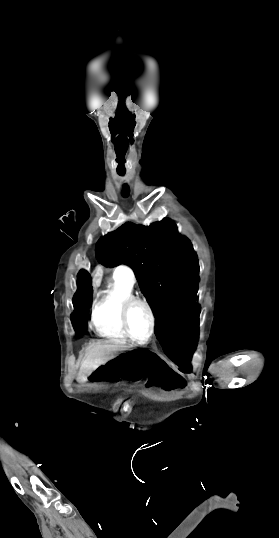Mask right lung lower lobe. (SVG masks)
Listing matches in <instances>:
<instances>
[{
  "mask_svg": "<svg viewBox=\"0 0 279 538\" xmlns=\"http://www.w3.org/2000/svg\"><path fill=\"white\" fill-rule=\"evenodd\" d=\"M78 276V289L73 297L75 310L72 316V323L77 332H83L85 334L87 329L86 312L93 298V290L91 278L87 272L81 271Z\"/></svg>",
  "mask_w": 279,
  "mask_h": 538,
  "instance_id": "98d812e1",
  "label": "right lung lower lobe"
}]
</instances>
